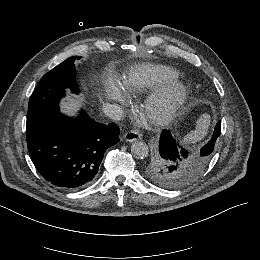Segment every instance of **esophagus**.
Masks as SVG:
<instances>
[{
  "mask_svg": "<svg viewBox=\"0 0 260 260\" xmlns=\"http://www.w3.org/2000/svg\"><path fill=\"white\" fill-rule=\"evenodd\" d=\"M124 138L128 142H133L141 139V134L136 130H131L124 134Z\"/></svg>",
  "mask_w": 260,
  "mask_h": 260,
  "instance_id": "esophagus-1",
  "label": "esophagus"
}]
</instances>
